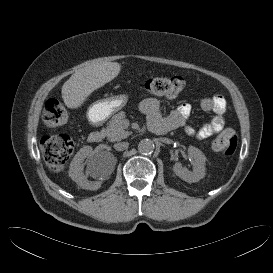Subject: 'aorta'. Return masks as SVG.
<instances>
[{"label": "aorta", "instance_id": "aorta-1", "mask_svg": "<svg viewBox=\"0 0 273 273\" xmlns=\"http://www.w3.org/2000/svg\"><path fill=\"white\" fill-rule=\"evenodd\" d=\"M155 149V144L151 139H143L138 144V151L141 154H151Z\"/></svg>", "mask_w": 273, "mask_h": 273}]
</instances>
